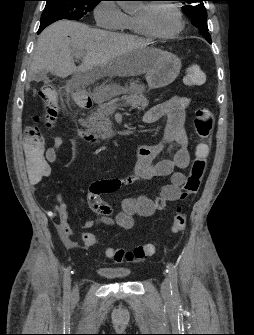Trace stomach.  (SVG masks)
Instances as JSON below:
<instances>
[{"mask_svg":"<svg viewBox=\"0 0 254 335\" xmlns=\"http://www.w3.org/2000/svg\"><path fill=\"white\" fill-rule=\"evenodd\" d=\"M154 58L153 66L146 72L149 89H159L171 84L181 70L180 59L168 52L157 48H147Z\"/></svg>","mask_w":254,"mask_h":335,"instance_id":"obj_1","label":"stomach"}]
</instances>
